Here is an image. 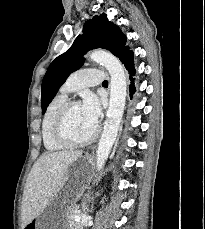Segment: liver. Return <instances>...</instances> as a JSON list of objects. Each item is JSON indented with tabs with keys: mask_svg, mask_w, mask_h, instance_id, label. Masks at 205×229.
<instances>
[{
	"mask_svg": "<svg viewBox=\"0 0 205 229\" xmlns=\"http://www.w3.org/2000/svg\"><path fill=\"white\" fill-rule=\"evenodd\" d=\"M82 156L81 151L43 154L33 165L22 200V226L39 216L65 184L68 168Z\"/></svg>",
	"mask_w": 205,
	"mask_h": 229,
	"instance_id": "6515ba94",
	"label": "liver"
}]
</instances>
